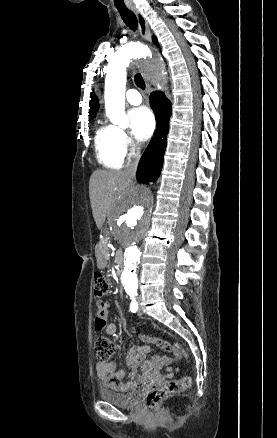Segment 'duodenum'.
Wrapping results in <instances>:
<instances>
[{"label": "duodenum", "instance_id": "obj_1", "mask_svg": "<svg viewBox=\"0 0 277 438\" xmlns=\"http://www.w3.org/2000/svg\"><path fill=\"white\" fill-rule=\"evenodd\" d=\"M114 258H115V262H116L117 266H118V267H122L123 264H124V256H123V253L120 252V251L116 252Z\"/></svg>", "mask_w": 277, "mask_h": 438}]
</instances>
